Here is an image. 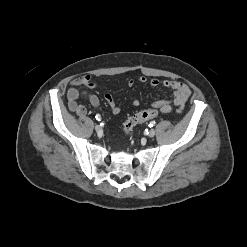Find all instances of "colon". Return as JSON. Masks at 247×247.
<instances>
[{
    "instance_id": "5ec220e1",
    "label": "colon",
    "mask_w": 247,
    "mask_h": 247,
    "mask_svg": "<svg viewBox=\"0 0 247 247\" xmlns=\"http://www.w3.org/2000/svg\"><path fill=\"white\" fill-rule=\"evenodd\" d=\"M158 116L157 109L142 110L134 114L124 124V131L129 132L136 124L146 122Z\"/></svg>"
}]
</instances>
